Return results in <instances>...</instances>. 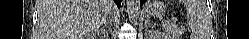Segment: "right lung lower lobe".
<instances>
[{
    "label": "right lung lower lobe",
    "mask_w": 249,
    "mask_h": 39,
    "mask_svg": "<svg viewBox=\"0 0 249 39\" xmlns=\"http://www.w3.org/2000/svg\"><path fill=\"white\" fill-rule=\"evenodd\" d=\"M114 1L116 2V4H117L118 7L121 6V0H114Z\"/></svg>",
    "instance_id": "98d812e1"
}]
</instances>
